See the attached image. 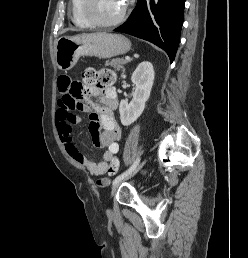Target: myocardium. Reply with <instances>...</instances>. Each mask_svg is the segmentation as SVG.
<instances>
[{
	"label": "myocardium",
	"instance_id": "myocardium-1",
	"mask_svg": "<svg viewBox=\"0 0 248 258\" xmlns=\"http://www.w3.org/2000/svg\"><path fill=\"white\" fill-rule=\"evenodd\" d=\"M91 0H81V12L84 18L87 20L90 26L94 27H112L120 24L126 17L128 11V4L125 2L123 9L119 16L110 21H99L96 20L89 12V3Z\"/></svg>",
	"mask_w": 248,
	"mask_h": 258
}]
</instances>
